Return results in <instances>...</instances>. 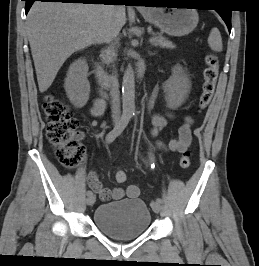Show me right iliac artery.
<instances>
[{
  "instance_id": "1",
  "label": "right iliac artery",
  "mask_w": 259,
  "mask_h": 266,
  "mask_svg": "<svg viewBox=\"0 0 259 266\" xmlns=\"http://www.w3.org/2000/svg\"><path fill=\"white\" fill-rule=\"evenodd\" d=\"M130 120L129 115H122L121 119L117 123V125L107 134L106 143H112L127 127ZM93 195L92 191H87V196Z\"/></svg>"
}]
</instances>
